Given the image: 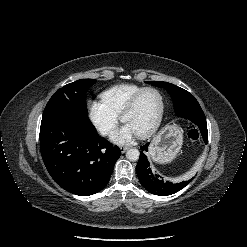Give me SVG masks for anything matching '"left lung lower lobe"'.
I'll list each match as a JSON object with an SVG mask.
<instances>
[{
    "instance_id": "left-lung-lower-lobe-1",
    "label": "left lung lower lobe",
    "mask_w": 247,
    "mask_h": 247,
    "mask_svg": "<svg viewBox=\"0 0 247 247\" xmlns=\"http://www.w3.org/2000/svg\"><path fill=\"white\" fill-rule=\"evenodd\" d=\"M196 129L198 130L199 136L203 139L204 143L207 144L208 141V131L206 120L199 121L196 124ZM148 144L141 147L140 158L136 166V172L141 185L150 193L160 196H166L174 194L181 189H183L192 179L188 181H183L181 183H172L164 181L163 178L153 171L147 156Z\"/></svg>"
}]
</instances>
